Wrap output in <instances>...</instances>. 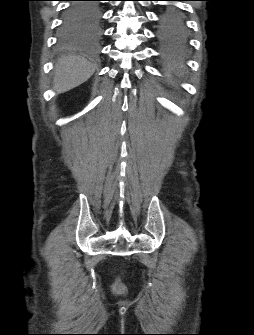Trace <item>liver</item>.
I'll use <instances>...</instances> for the list:
<instances>
[{
    "mask_svg": "<svg viewBox=\"0 0 254 335\" xmlns=\"http://www.w3.org/2000/svg\"><path fill=\"white\" fill-rule=\"evenodd\" d=\"M94 66L78 56L59 59L55 66L54 89L57 93L69 91L85 81L94 73Z\"/></svg>",
    "mask_w": 254,
    "mask_h": 335,
    "instance_id": "6515ba94",
    "label": "liver"
}]
</instances>
